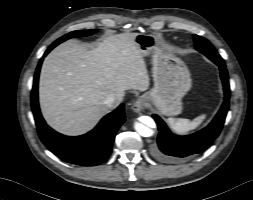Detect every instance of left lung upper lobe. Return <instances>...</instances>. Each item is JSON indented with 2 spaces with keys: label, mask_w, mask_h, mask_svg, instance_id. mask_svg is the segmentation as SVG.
Returning <instances> with one entry per match:
<instances>
[{
  "label": "left lung upper lobe",
  "mask_w": 253,
  "mask_h": 200,
  "mask_svg": "<svg viewBox=\"0 0 253 200\" xmlns=\"http://www.w3.org/2000/svg\"><path fill=\"white\" fill-rule=\"evenodd\" d=\"M194 42L195 48L199 52L207 56L211 61H213L214 63L224 64L223 59L220 57V55L217 53V51L207 39L198 35H194Z\"/></svg>",
  "instance_id": "obj_1"
}]
</instances>
